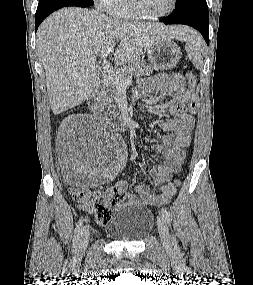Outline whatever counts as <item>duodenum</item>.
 Wrapping results in <instances>:
<instances>
[{
    "instance_id": "410a0bca",
    "label": "duodenum",
    "mask_w": 253,
    "mask_h": 285,
    "mask_svg": "<svg viewBox=\"0 0 253 285\" xmlns=\"http://www.w3.org/2000/svg\"><path fill=\"white\" fill-rule=\"evenodd\" d=\"M102 89L103 84H99L96 90L91 94L88 99V105L90 110L99 118H105L116 126H124V122L121 117L114 113L108 112L102 104Z\"/></svg>"
}]
</instances>
